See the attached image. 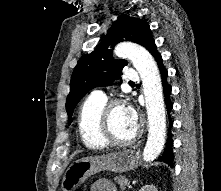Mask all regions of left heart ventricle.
Returning <instances> with one entry per match:
<instances>
[{"label":"left heart ventricle","instance_id":"left-heart-ventricle-1","mask_svg":"<svg viewBox=\"0 0 221 191\" xmlns=\"http://www.w3.org/2000/svg\"><path fill=\"white\" fill-rule=\"evenodd\" d=\"M111 126L115 136L119 139L131 137L136 130L128 123L123 106L114 110L111 117Z\"/></svg>","mask_w":221,"mask_h":191}]
</instances>
